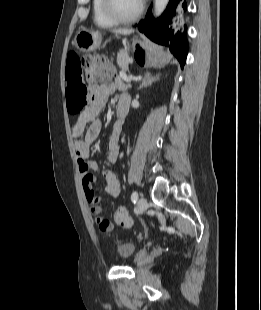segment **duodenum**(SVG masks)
Instances as JSON below:
<instances>
[{"instance_id":"1","label":"duodenum","mask_w":261,"mask_h":310,"mask_svg":"<svg viewBox=\"0 0 261 310\" xmlns=\"http://www.w3.org/2000/svg\"><path fill=\"white\" fill-rule=\"evenodd\" d=\"M129 106V97L127 95H122L117 104V115L119 117V121H122V119L126 116L129 110Z\"/></svg>"}]
</instances>
